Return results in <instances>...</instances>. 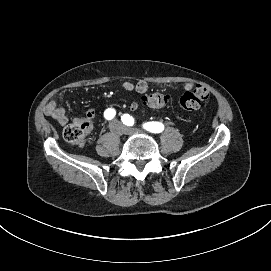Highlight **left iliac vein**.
Here are the masks:
<instances>
[{
	"mask_svg": "<svg viewBox=\"0 0 271 271\" xmlns=\"http://www.w3.org/2000/svg\"><path fill=\"white\" fill-rule=\"evenodd\" d=\"M127 134H134V133H139L140 131L138 129H134V128H128L126 127V131Z\"/></svg>",
	"mask_w": 271,
	"mask_h": 271,
	"instance_id": "left-iliac-vein-1",
	"label": "left iliac vein"
}]
</instances>
